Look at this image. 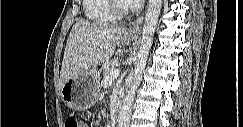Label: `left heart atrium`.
<instances>
[{
	"label": "left heart atrium",
	"mask_w": 243,
	"mask_h": 127,
	"mask_svg": "<svg viewBox=\"0 0 243 127\" xmlns=\"http://www.w3.org/2000/svg\"><path fill=\"white\" fill-rule=\"evenodd\" d=\"M140 2H141V0H127V3L130 5H137Z\"/></svg>",
	"instance_id": "1"
}]
</instances>
